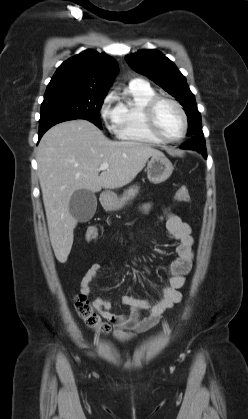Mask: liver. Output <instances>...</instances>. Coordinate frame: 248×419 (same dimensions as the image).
<instances>
[{"label":"liver","mask_w":248,"mask_h":419,"mask_svg":"<svg viewBox=\"0 0 248 419\" xmlns=\"http://www.w3.org/2000/svg\"><path fill=\"white\" fill-rule=\"evenodd\" d=\"M162 155L148 144L111 141L84 119L60 123L44 134L37 149L38 177L51 245L60 263L67 261L77 225L69 211L73 193L123 187L150 157ZM102 163H108V169L99 170Z\"/></svg>","instance_id":"liver-1"}]
</instances>
